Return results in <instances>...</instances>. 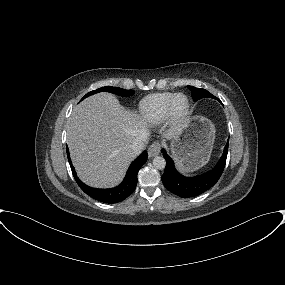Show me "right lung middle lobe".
Masks as SVG:
<instances>
[{
  "instance_id": "dd1d6c3e",
  "label": "right lung middle lobe",
  "mask_w": 285,
  "mask_h": 285,
  "mask_svg": "<svg viewBox=\"0 0 285 285\" xmlns=\"http://www.w3.org/2000/svg\"><path fill=\"white\" fill-rule=\"evenodd\" d=\"M111 92V93H114V94H117V95H120V96H124V97H127V96H131L133 94V90H125V89H122V88H118V87H110V86H106V87H102V88H99V89H96L94 91H91L89 93H87L83 98H86L90 95H93L95 93H98V92Z\"/></svg>"
}]
</instances>
